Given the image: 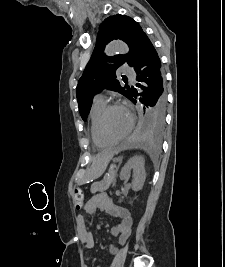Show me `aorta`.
Segmentation results:
<instances>
[{"instance_id": "aorta-1", "label": "aorta", "mask_w": 225, "mask_h": 267, "mask_svg": "<svg viewBox=\"0 0 225 267\" xmlns=\"http://www.w3.org/2000/svg\"><path fill=\"white\" fill-rule=\"evenodd\" d=\"M128 51H129L128 46L121 41L109 44L105 50L107 55H113L115 53L126 54L128 53Z\"/></svg>"}]
</instances>
